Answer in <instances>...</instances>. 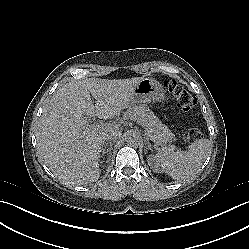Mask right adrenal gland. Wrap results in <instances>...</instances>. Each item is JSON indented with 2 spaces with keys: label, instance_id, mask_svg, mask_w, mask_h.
<instances>
[{
  "label": "right adrenal gland",
  "instance_id": "right-adrenal-gland-1",
  "mask_svg": "<svg viewBox=\"0 0 249 249\" xmlns=\"http://www.w3.org/2000/svg\"><path fill=\"white\" fill-rule=\"evenodd\" d=\"M102 153H103V154L106 153V145H103V147H102Z\"/></svg>",
  "mask_w": 249,
  "mask_h": 249
}]
</instances>
